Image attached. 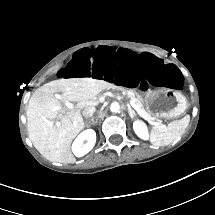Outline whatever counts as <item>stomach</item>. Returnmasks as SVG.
Returning a JSON list of instances; mask_svg holds the SVG:
<instances>
[{
	"label": "stomach",
	"instance_id": "0dacf381",
	"mask_svg": "<svg viewBox=\"0 0 215 215\" xmlns=\"http://www.w3.org/2000/svg\"><path fill=\"white\" fill-rule=\"evenodd\" d=\"M147 111L157 118H176L187 109V99L178 90L165 87L148 90L145 93L137 92Z\"/></svg>",
	"mask_w": 215,
	"mask_h": 215
}]
</instances>
